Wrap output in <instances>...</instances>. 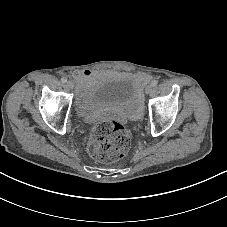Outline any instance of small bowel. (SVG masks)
Returning <instances> with one entry per match:
<instances>
[{"instance_id": "small-bowel-1", "label": "small bowel", "mask_w": 227, "mask_h": 227, "mask_svg": "<svg viewBox=\"0 0 227 227\" xmlns=\"http://www.w3.org/2000/svg\"><path fill=\"white\" fill-rule=\"evenodd\" d=\"M106 74L113 75L114 73L111 71H108ZM98 75L99 73L93 72L87 69L77 70L73 73V77L79 83L81 89H84L86 86H88L92 81V79ZM134 80L136 83H146L149 80V78L147 75L140 73L134 76Z\"/></svg>"}]
</instances>
